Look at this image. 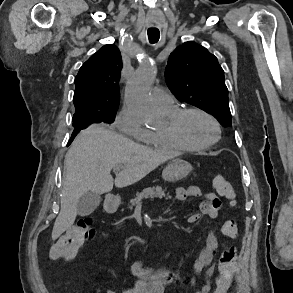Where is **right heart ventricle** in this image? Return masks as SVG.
Listing matches in <instances>:
<instances>
[{"instance_id":"right-heart-ventricle-1","label":"right heart ventricle","mask_w":293,"mask_h":293,"mask_svg":"<svg viewBox=\"0 0 293 293\" xmlns=\"http://www.w3.org/2000/svg\"><path fill=\"white\" fill-rule=\"evenodd\" d=\"M177 110L178 107L176 105L167 109H160L166 120L173 116L177 112ZM144 142L150 147L163 151L182 152L190 150L189 148L178 142L176 139H174L166 131L165 127L156 131H150L149 137Z\"/></svg>"}]
</instances>
